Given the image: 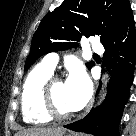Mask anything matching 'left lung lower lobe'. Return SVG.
<instances>
[{
  "label": "left lung lower lobe",
  "mask_w": 136,
  "mask_h": 136,
  "mask_svg": "<svg viewBox=\"0 0 136 136\" xmlns=\"http://www.w3.org/2000/svg\"><path fill=\"white\" fill-rule=\"evenodd\" d=\"M105 64L112 69L105 101L83 119L65 125L96 136H119V123L133 82L136 63V31L132 11L103 43Z\"/></svg>",
  "instance_id": "1"
}]
</instances>
